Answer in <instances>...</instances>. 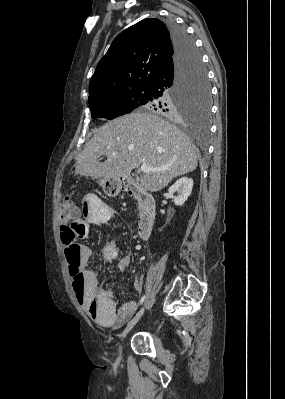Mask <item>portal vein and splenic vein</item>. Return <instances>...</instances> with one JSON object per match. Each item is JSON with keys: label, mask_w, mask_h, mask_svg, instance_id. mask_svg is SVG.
I'll use <instances>...</instances> for the list:
<instances>
[{"label": "portal vein and splenic vein", "mask_w": 285, "mask_h": 399, "mask_svg": "<svg viewBox=\"0 0 285 399\" xmlns=\"http://www.w3.org/2000/svg\"><path fill=\"white\" fill-rule=\"evenodd\" d=\"M116 154L115 153H113V156H115ZM167 168H165V167H160V168H153V167H151L150 165H147V164H143V165H141V167H140V170L142 171V172H149V171H152V172H159V171H164V170H166Z\"/></svg>", "instance_id": "obj_1"}]
</instances>
